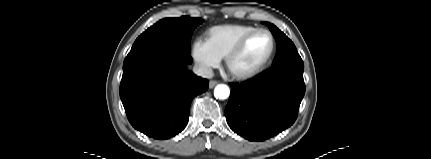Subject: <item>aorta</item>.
<instances>
[{"label":"aorta","mask_w":431,"mask_h":159,"mask_svg":"<svg viewBox=\"0 0 431 159\" xmlns=\"http://www.w3.org/2000/svg\"><path fill=\"white\" fill-rule=\"evenodd\" d=\"M230 95V89L225 84H219L214 89V96L219 99H227Z\"/></svg>","instance_id":"1"}]
</instances>
